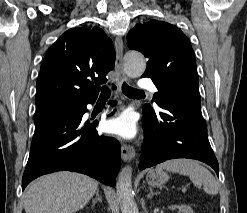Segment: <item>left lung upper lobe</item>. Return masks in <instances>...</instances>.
<instances>
[{"label":"left lung upper lobe","mask_w":247,"mask_h":213,"mask_svg":"<svg viewBox=\"0 0 247 213\" xmlns=\"http://www.w3.org/2000/svg\"><path fill=\"white\" fill-rule=\"evenodd\" d=\"M127 45L148 58L142 77H150L157 87L154 101L158 106L168 97L200 105L194 52L180 29L164 21L150 20L130 30ZM142 111L143 118H153L157 113L150 105Z\"/></svg>","instance_id":"left-lung-upper-lobe-1"}]
</instances>
